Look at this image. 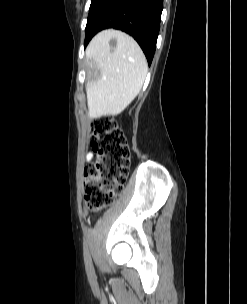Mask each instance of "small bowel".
I'll return each instance as SVG.
<instances>
[{
    "instance_id": "obj_1",
    "label": "small bowel",
    "mask_w": 247,
    "mask_h": 304,
    "mask_svg": "<svg viewBox=\"0 0 247 304\" xmlns=\"http://www.w3.org/2000/svg\"><path fill=\"white\" fill-rule=\"evenodd\" d=\"M94 157V154L92 152L88 153L87 156H86V161L87 162H90Z\"/></svg>"
}]
</instances>
